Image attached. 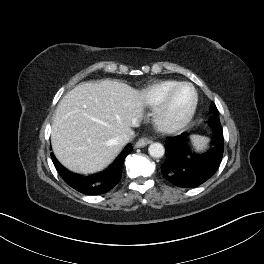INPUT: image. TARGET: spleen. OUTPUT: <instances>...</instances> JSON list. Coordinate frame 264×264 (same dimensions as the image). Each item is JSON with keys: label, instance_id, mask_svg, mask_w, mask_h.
<instances>
[{"label": "spleen", "instance_id": "1", "mask_svg": "<svg viewBox=\"0 0 264 264\" xmlns=\"http://www.w3.org/2000/svg\"><path fill=\"white\" fill-rule=\"evenodd\" d=\"M192 144L198 150H203L207 147L209 139L200 135H192L191 137Z\"/></svg>", "mask_w": 264, "mask_h": 264}]
</instances>
